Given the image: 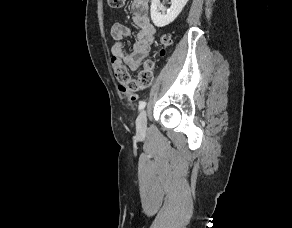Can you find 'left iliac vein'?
<instances>
[{"label":"left iliac vein","instance_id":"1","mask_svg":"<svg viewBox=\"0 0 292 228\" xmlns=\"http://www.w3.org/2000/svg\"><path fill=\"white\" fill-rule=\"evenodd\" d=\"M147 128V114L145 110H142L136 119V129L138 134L145 133Z\"/></svg>","mask_w":292,"mask_h":228}]
</instances>
